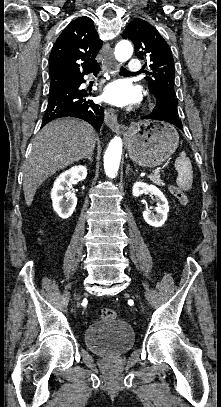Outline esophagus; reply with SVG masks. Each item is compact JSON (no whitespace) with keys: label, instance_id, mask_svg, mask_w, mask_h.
<instances>
[{"label":"esophagus","instance_id":"34e87169","mask_svg":"<svg viewBox=\"0 0 221 407\" xmlns=\"http://www.w3.org/2000/svg\"><path fill=\"white\" fill-rule=\"evenodd\" d=\"M105 54V65L106 71L116 70L117 63L114 59L113 49L109 44H105L103 47ZM104 121L105 124L114 132H119L120 130H127V127L122 126L118 122L117 115L113 109H106L104 112Z\"/></svg>","mask_w":221,"mask_h":407}]
</instances>
